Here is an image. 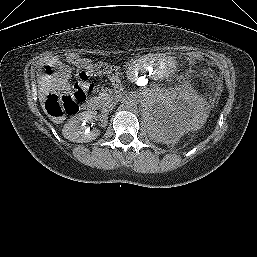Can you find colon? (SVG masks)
<instances>
[{"instance_id":"obj_1","label":"colon","mask_w":257,"mask_h":257,"mask_svg":"<svg viewBox=\"0 0 257 257\" xmlns=\"http://www.w3.org/2000/svg\"><path fill=\"white\" fill-rule=\"evenodd\" d=\"M204 56L199 52H190L189 59L197 62L203 60ZM95 66H85L77 75L75 84L59 93L49 94L45 106L47 112L54 118H61L64 114L76 113L81 104L86 100L87 94L92 91L93 84L90 77L98 71ZM45 73L50 74L51 69L45 68Z\"/></svg>"}]
</instances>
